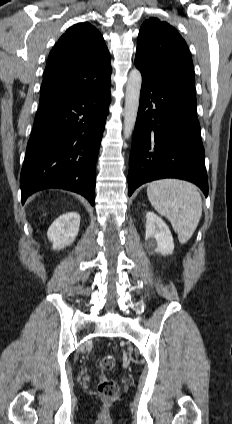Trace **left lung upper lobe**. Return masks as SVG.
<instances>
[{"instance_id":"left-lung-upper-lobe-1","label":"left lung upper lobe","mask_w":232,"mask_h":424,"mask_svg":"<svg viewBox=\"0 0 232 424\" xmlns=\"http://www.w3.org/2000/svg\"><path fill=\"white\" fill-rule=\"evenodd\" d=\"M135 65L145 81L195 83L186 42L176 29L157 18L146 20L140 28Z\"/></svg>"}]
</instances>
